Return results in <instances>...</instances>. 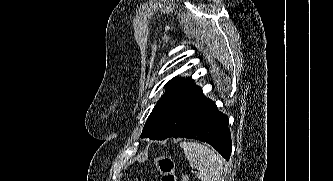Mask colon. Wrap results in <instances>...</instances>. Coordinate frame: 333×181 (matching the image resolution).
<instances>
[{
	"mask_svg": "<svg viewBox=\"0 0 333 181\" xmlns=\"http://www.w3.org/2000/svg\"><path fill=\"white\" fill-rule=\"evenodd\" d=\"M154 165L159 172L160 181H177L173 158L161 155L155 158Z\"/></svg>",
	"mask_w": 333,
	"mask_h": 181,
	"instance_id": "5ec220e1",
	"label": "colon"
}]
</instances>
